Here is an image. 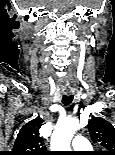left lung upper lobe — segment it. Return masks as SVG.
I'll return each instance as SVG.
<instances>
[{
    "label": "left lung upper lobe",
    "instance_id": "5c2ea615",
    "mask_svg": "<svg viewBox=\"0 0 115 155\" xmlns=\"http://www.w3.org/2000/svg\"><path fill=\"white\" fill-rule=\"evenodd\" d=\"M88 128L92 141L104 149L98 155H115V128L112 124L103 118L93 117Z\"/></svg>",
    "mask_w": 115,
    "mask_h": 155
}]
</instances>
